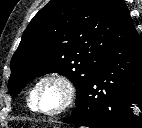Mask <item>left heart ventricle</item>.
I'll return each instance as SVG.
<instances>
[{"label":"left heart ventricle","mask_w":142,"mask_h":128,"mask_svg":"<svg viewBox=\"0 0 142 128\" xmlns=\"http://www.w3.org/2000/svg\"><path fill=\"white\" fill-rule=\"evenodd\" d=\"M64 101L63 88L55 83H46L40 92L39 104L43 110L54 111L58 109Z\"/></svg>","instance_id":"b2bd125f"}]
</instances>
